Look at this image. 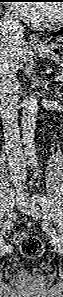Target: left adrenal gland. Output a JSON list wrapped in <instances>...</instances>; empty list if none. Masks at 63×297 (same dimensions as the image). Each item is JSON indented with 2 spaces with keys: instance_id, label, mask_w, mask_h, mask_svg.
Wrapping results in <instances>:
<instances>
[{
  "instance_id": "a2214340",
  "label": "left adrenal gland",
  "mask_w": 63,
  "mask_h": 297,
  "mask_svg": "<svg viewBox=\"0 0 63 297\" xmlns=\"http://www.w3.org/2000/svg\"><path fill=\"white\" fill-rule=\"evenodd\" d=\"M58 90H59V89H58V88H56V92H58Z\"/></svg>"
}]
</instances>
